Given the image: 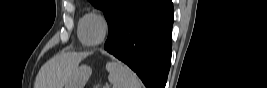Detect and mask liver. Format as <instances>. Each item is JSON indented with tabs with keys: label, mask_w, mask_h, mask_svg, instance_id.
<instances>
[{
	"label": "liver",
	"mask_w": 267,
	"mask_h": 88,
	"mask_svg": "<svg viewBox=\"0 0 267 88\" xmlns=\"http://www.w3.org/2000/svg\"><path fill=\"white\" fill-rule=\"evenodd\" d=\"M87 53H61L47 61L40 69L34 88H63Z\"/></svg>",
	"instance_id": "obj_1"
}]
</instances>
